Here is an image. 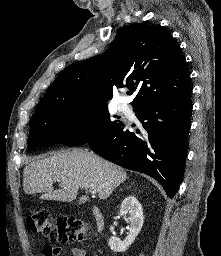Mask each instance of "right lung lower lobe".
Wrapping results in <instances>:
<instances>
[{
    "label": "right lung lower lobe",
    "mask_w": 221,
    "mask_h": 256,
    "mask_svg": "<svg viewBox=\"0 0 221 256\" xmlns=\"http://www.w3.org/2000/svg\"><path fill=\"white\" fill-rule=\"evenodd\" d=\"M191 110V92L153 100L135 111L143 134L130 132L119 121L88 144L103 158L153 177L172 198L184 174Z\"/></svg>",
    "instance_id": "98d812e1"
}]
</instances>
